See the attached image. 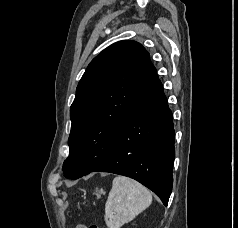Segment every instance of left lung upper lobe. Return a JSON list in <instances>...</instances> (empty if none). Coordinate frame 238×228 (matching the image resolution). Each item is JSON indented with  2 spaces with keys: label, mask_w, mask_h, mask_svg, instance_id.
I'll list each match as a JSON object with an SVG mask.
<instances>
[{
  "label": "left lung upper lobe",
  "mask_w": 238,
  "mask_h": 228,
  "mask_svg": "<svg viewBox=\"0 0 238 228\" xmlns=\"http://www.w3.org/2000/svg\"><path fill=\"white\" fill-rule=\"evenodd\" d=\"M153 69L149 53L131 40L112 44L91 61L70 108L66 178L91 171L111 154Z\"/></svg>",
  "instance_id": "obj_1"
}]
</instances>
